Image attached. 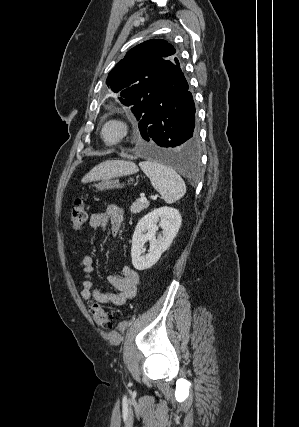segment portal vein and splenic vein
Listing matches in <instances>:
<instances>
[{
    "label": "portal vein and splenic vein",
    "mask_w": 299,
    "mask_h": 427,
    "mask_svg": "<svg viewBox=\"0 0 299 427\" xmlns=\"http://www.w3.org/2000/svg\"><path fill=\"white\" fill-rule=\"evenodd\" d=\"M151 198L155 200L157 197H156V196H151ZM141 201H142V202H147V198L143 196V197L141 198Z\"/></svg>",
    "instance_id": "obj_1"
}]
</instances>
